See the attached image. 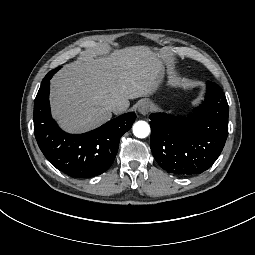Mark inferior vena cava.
I'll list each match as a JSON object with an SVG mask.
<instances>
[{
  "label": "inferior vena cava",
  "mask_w": 255,
  "mask_h": 255,
  "mask_svg": "<svg viewBox=\"0 0 255 255\" xmlns=\"http://www.w3.org/2000/svg\"><path fill=\"white\" fill-rule=\"evenodd\" d=\"M110 109H111L113 112H115V113H119V112L123 111L124 107H123V105H122L121 102H119V101H113V102L111 103Z\"/></svg>",
  "instance_id": "602c4592"
}]
</instances>
